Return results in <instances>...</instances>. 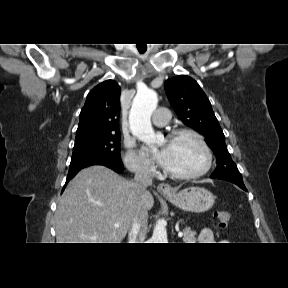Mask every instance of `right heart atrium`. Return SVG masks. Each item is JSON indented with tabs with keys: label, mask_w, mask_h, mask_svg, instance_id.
I'll return each instance as SVG.
<instances>
[{
	"label": "right heart atrium",
	"mask_w": 288,
	"mask_h": 288,
	"mask_svg": "<svg viewBox=\"0 0 288 288\" xmlns=\"http://www.w3.org/2000/svg\"><path fill=\"white\" fill-rule=\"evenodd\" d=\"M124 162L127 168L137 174L148 175L154 169L153 162L143 153L136 150L131 140L125 142Z\"/></svg>",
	"instance_id": "1"
}]
</instances>
